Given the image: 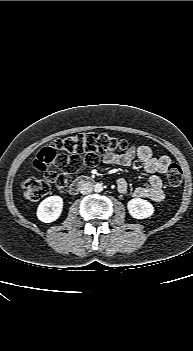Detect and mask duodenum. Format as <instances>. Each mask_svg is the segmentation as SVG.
I'll return each instance as SVG.
<instances>
[{"mask_svg": "<svg viewBox=\"0 0 193 351\" xmlns=\"http://www.w3.org/2000/svg\"><path fill=\"white\" fill-rule=\"evenodd\" d=\"M91 181H92V178L88 177V176H80V177L76 178L72 182V184L70 185V187L68 189V193L70 195L76 194L81 187L90 184Z\"/></svg>", "mask_w": 193, "mask_h": 351, "instance_id": "410a0bca", "label": "duodenum"}]
</instances>
